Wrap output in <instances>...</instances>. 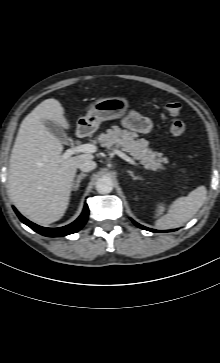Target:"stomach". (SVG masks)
<instances>
[{
	"label": "stomach",
	"instance_id": "0dacf381",
	"mask_svg": "<svg viewBox=\"0 0 220 363\" xmlns=\"http://www.w3.org/2000/svg\"><path fill=\"white\" fill-rule=\"evenodd\" d=\"M129 103L128 98L123 96L100 99L91 105L85 116L77 120V126L93 133L101 122L121 118Z\"/></svg>",
	"mask_w": 220,
	"mask_h": 363
}]
</instances>
